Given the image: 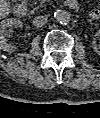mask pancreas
Here are the masks:
<instances>
[{"instance_id": "1", "label": "pancreas", "mask_w": 100, "mask_h": 118, "mask_svg": "<svg viewBox=\"0 0 100 118\" xmlns=\"http://www.w3.org/2000/svg\"><path fill=\"white\" fill-rule=\"evenodd\" d=\"M46 1H48V0H40V3L43 4V3L46 2ZM39 7H40V6H37L35 9L37 10V9H39Z\"/></svg>"}]
</instances>
